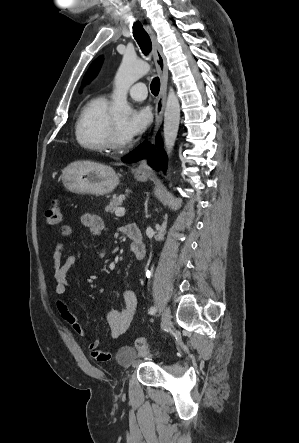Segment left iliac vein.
Instances as JSON below:
<instances>
[{
    "label": "left iliac vein",
    "mask_w": 299,
    "mask_h": 443,
    "mask_svg": "<svg viewBox=\"0 0 299 443\" xmlns=\"http://www.w3.org/2000/svg\"><path fill=\"white\" fill-rule=\"evenodd\" d=\"M171 323V311L169 307H166L162 313V320H161V329L162 331H167L170 327Z\"/></svg>",
    "instance_id": "left-iliac-vein-1"
}]
</instances>
